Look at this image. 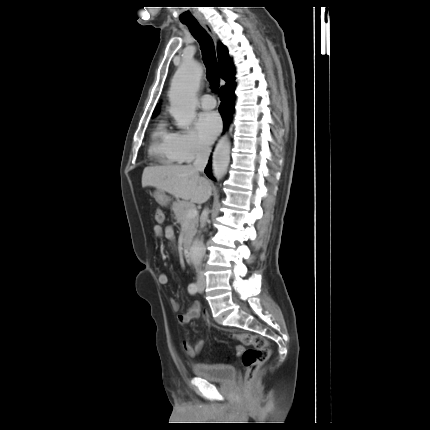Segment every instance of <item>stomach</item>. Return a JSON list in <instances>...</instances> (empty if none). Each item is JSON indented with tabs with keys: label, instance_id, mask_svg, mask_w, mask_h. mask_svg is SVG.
<instances>
[{
	"label": "stomach",
	"instance_id": "obj_1",
	"mask_svg": "<svg viewBox=\"0 0 430 430\" xmlns=\"http://www.w3.org/2000/svg\"><path fill=\"white\" fill-rule=\"evenodd\" d=\"M154 198L161 206H167L168 202L170 201L165 192L162 190H157L154 193Z\"/></svg>",
	"mask_w": 430,
	"mask_h": 430
}]
</instances>
